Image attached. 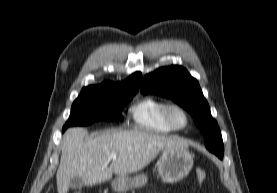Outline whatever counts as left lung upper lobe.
I'll use <instances>...</instances> for the list:
<instances>
[{
    "instance_id": "obj_1",
    "label": "left lung upper lobe",
    "mask_w": 277,
    "mask_h": 193,
    "mask_svg": "<svg viewBox=\"0 0 277 193\" xmlns=\"http://www.w3.org/2000/svg\"><path fill=\"white\" fill-rule=\"evenodd\" d=\"M141 92L171 98L185 108L202 131L207 149L223 158L224 146L219 126L211 116L198 81L186 69L176 65L157 69L144 77Z\"/></svg>"
}]
</instances>
